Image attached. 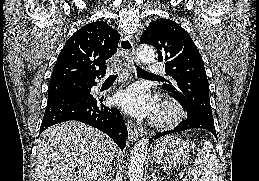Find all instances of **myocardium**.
<instances>
[{"instance_id":"f54148a6","label":"myocardium","mask_w":259,"mask_h":181,"mask_svg":"<svg viewBox=\"0 0 259 181\" xmlns=\"http://www.w3.org/2000/svg\"><path fill=\"white\" fill-rule=\"evenodd\" d=\"M184 117V109L176 100L166 99L153 118V125L158 128H170L177 125Z\"/></svg>"}]
</instances>
